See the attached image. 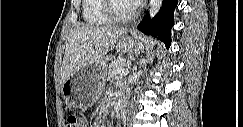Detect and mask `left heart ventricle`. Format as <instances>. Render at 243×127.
Here are the masks:
<instances>
[{"instance_id": "b2bd125f", "label": "left heart ventricle", "mask_w": 243, "mask_h": 127, "mask_svg": "<svg viewBox=\"0 0 243 127\" xmlns=\"http://www.w3.org/2000/svg\"><path fill=\"white\" fill-rule=\"evenodd\" d=\"M116 4H117V10L120 13L126 14V13H128L130 11L131 3L129 1L118 0Z\"/></svg>"}]
</instances>
